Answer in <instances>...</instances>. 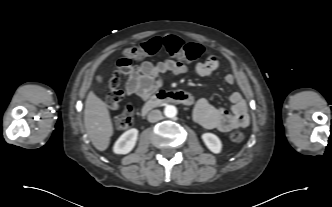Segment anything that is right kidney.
<instances>
[{
	"instance_id": "ca27d5eb",
	"label": "right kidney",
	"mask_w": 332,
	"mask_h": 207,
	"mask_svg": "<svg viewBox=\"0 0 332 207\" xmlns=\"http://www.w3.org/2000/svg\"><path fill=\"white\" fill-rule=\"evenodd\" d=\"M138 138V130L132 128L124 132L113 146V152L115 154H127L129 153L136 145Z\"/></svg>"
}]
</instances>
